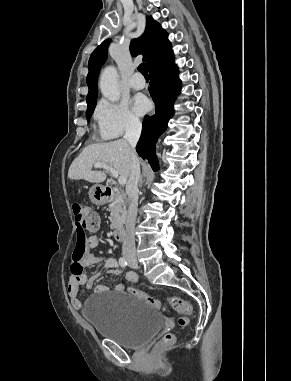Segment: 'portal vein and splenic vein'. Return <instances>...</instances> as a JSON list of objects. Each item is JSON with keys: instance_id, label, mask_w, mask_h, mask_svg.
<instances>
[{"instance_id": "obj_1", "label": "portal vein and splenic vein", "mask_w": 291, "mask_h": 381, "mask_svg": "<svg viewBox=\"0 0 291 381\" xmlns=\"http://www.w3.org/2000/svg\"><path fill=\"white\" fill-rule=\"evenodd\" d=\"M94 167L95 168H104L106 169L107 171H109L113 177L117 178L118 179V183L120 185H124L126 183V180L125 178H122V177H118V172L111 166L109 165H106L104 163H95L94 164Z\"/></svg>"}]
</instances>
